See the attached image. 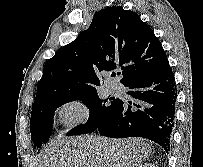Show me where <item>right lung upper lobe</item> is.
<instances>
[{
  "mask_svg": "<svg viewBox=\"0 0 203 167\" xmlns=\"http://www.w3.org/2000/svg\"><path fill=\"white\" fill-rule=\"evenodd\" d=\"M166 62L159 40L137 13L120 6L105 8L46 62L32 110L54 98L97 91L98 72L120 67L124 85Z\"/></svg>",
  "mask_w": 203,
  "mask_h": 167,
  "instance_id": "cb5924a9",
  "label": "right lung upper lobe"
}]
</instances>
